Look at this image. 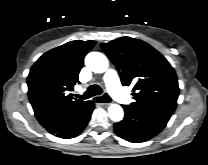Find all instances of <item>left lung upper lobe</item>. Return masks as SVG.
I'll list each match as a JSON object with an SVG mask.
<instances>
[{"label": "left lung upper lobe", "mask_w": 208, "mask_h": 165, "mask_svg": "<svg viewBox=\"0 0 208 165\" xmlns=\"http://www.w3.org/2000/svg\"><path fill=\"white\" fill-rule=\"evenodd\" d=\"M101 47L120 72L122 85H134L135 101L131 106L174 113L179 86L174 69L164 56L146 42L131 37L102 43Z\"/></svg>", "instance_id": "left-lung-upper-lobe-1"}]
</instances>
